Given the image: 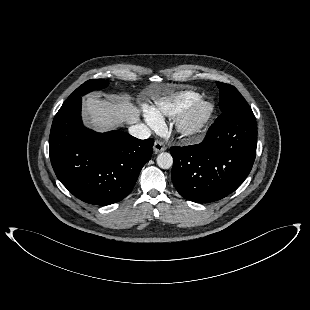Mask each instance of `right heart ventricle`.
<instances>
[{"label":"right heart ventricle","instance_id":"e07e8e85","mask_svg":"<svg viewBox=\"0 0 310 310\" xmlns=\"http://www.w3.org/2000/svg\"><path fill=\"white\" fill-rule=\"evenodd\" d=\"M200 98V94L191 90L172 93L156 101L155 105L149 108L148 113L162 119L164 116L176 117L188 105Z\"/></svg>","mask_w":310,"mask_h":310}]
</instances>
